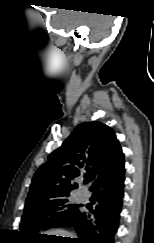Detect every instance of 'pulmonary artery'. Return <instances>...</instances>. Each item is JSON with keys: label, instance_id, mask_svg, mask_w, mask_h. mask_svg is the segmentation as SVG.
Here are the masks:
<instances>
[{"label": "pulmonary artery", "instance_id": "pulmonary-artery-1", "mask_svg": "<svg viewBox=\"0 0 154 243\" xmlns=\"http://www.w3.org/2000/svg\"><path fill=\"white\" fill-rule=\"evenodd\" d=\"M86 198H87V194L86 193L81 194V196H80V199L81 200H85Z\"/></svg>", "mask_w": 154, "mask_h": 243}]
</instances>
